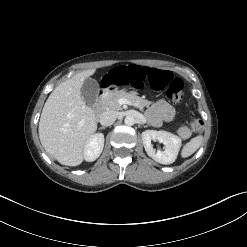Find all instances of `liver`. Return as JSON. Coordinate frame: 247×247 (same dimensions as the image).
I'll use <instances>...</instances> for the list:
<instances>
[{
    "instance_id": "6515ba94",
    "label": "liver",
    "mask_w": 247,
    "mask_h": 247,
    "mask_svg": "<svg viewBox=\"0 0 247 247\" xmlns=\"http://www.w3.org/2000/svg\"><path fill=\"white\" fill-rule=\"evenodd\" d=\"M94 73L95 69L86 70L61 83L43 107L39 121L41 144L63 165H80L85 145L96 132V114L81 94L85 79Z\"/></svg>"
}]
</instances>
